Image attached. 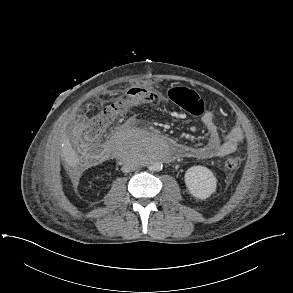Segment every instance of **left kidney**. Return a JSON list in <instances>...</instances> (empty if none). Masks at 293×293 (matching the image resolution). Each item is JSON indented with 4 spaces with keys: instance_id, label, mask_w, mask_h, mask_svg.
I'll list each match as a JSON object with an SVG mask.
<instances>
[{
    "instance_id": "1",
    "label": "left kidney",
    "mask_w": 293,
    "mask_h": 293,
    "mask_svg": "<svg viewBox=\"0 0 293 293\" xmlns=\"http://www.w3.org/2000/svg\"><path fill=\"white\" fill-rule=\"evenodd\" d=\"M184 179L189 192L198 199L205 200L216 191V177L207 167H190L186 171Z\"/></svg>"
}]
</instances>
